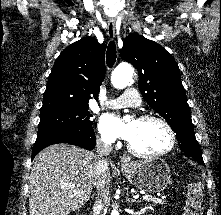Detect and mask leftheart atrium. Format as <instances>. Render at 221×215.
Returning a JSON list of instances; mask_svg holds the SVG:
<instances>
[{"label": "left heart atrium", "instance_id": "1", "mask_svg": "<svg viewBox=\"0 0 221 215\" xmlns=\"http://www.w3.org/2000/svg\"><path fill=\"white\" fill-rule=\"evenodd\" d=\"M100 129L108 139L121 137L129 140L132 135V125L124 124L119 118L112 115H105L100 121Z\"/></svg>", "mask_w": 221, "mask_h": 215}]
</instances>
